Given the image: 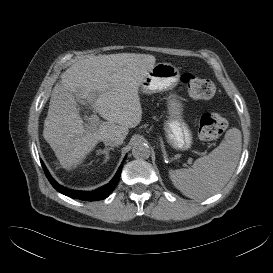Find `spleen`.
<instances>
[{
    "label": "spleen",
    "instance_id": "1",
    "mask_svg": "<svg viewBox=\"0 0 273 273\" xmlns=\"http://www.w3.org/2000/svg\"><path fill=\"white\" fill-rule=\"evenodd\" d=\"M241 148V131L229 129L220 145L207 156L196 159L192 168L170 170V179L189 198L210 197L230 180L238 164Z\"/></svg>",
    "mask_w": 273,
    "mask_h": 273
}]
</instances>
